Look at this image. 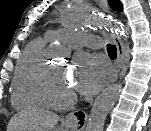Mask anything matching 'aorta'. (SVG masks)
<instances>
[{
  "mask_svg": "<svg viewBox=\"0 0 151 131\" xmlns=\"http://www.w3.org/2000/svg\"><path fill=\"white\" fill-rule=\"evenodd\" d=\"M74 13L75 11L73 10L66 11L63 14V21L65 23H72L76 27H80L85 24L89 25L90 27L96 28H117L118 26L114 22H107L97 16H92L84 21L74 19ZM55 50V57L66 56L65 51L57 50V46H55ZM121 89V84H111L107 86V88H105L102 93L96 98L89 114L86 131H103L107 114L118 100Z\"/></svg>",
  "mask_w": 151,
  "mask_h": 131,
  "instance_id": "762f6f07",
  "label": "aorta"
}]
</instances>
